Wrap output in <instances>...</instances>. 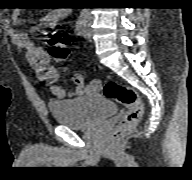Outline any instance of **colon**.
<instances>
[{"label": "colon", "mask_w": 192, "mask_h": 180, "mask_svg": "<svg viewBox=\"0 0 192 180\" xmlns=\"http://www.w3.org/2000/svg\"><path fill=\"white\" fill-rule=\"evenodd\" d=\"M44 35L50 45V56L56 61H65L69 56V37L54 27L47 28ZM103 94L126 107V113L113 134L114 139H117L138 124L142 117L143 105L140 97L133 89L114 80H109L104 84Z\"/></svg>", "instance_id": "5ec220e1"}]
</instances>
